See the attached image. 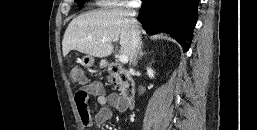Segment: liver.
<instances>
[{"mask_svg":"<svg viewBox=\"0 0 257 130\" xmlns=\"http://www.w3.org/2000/svg\"><path fill=\"white\" fill-rule=\"evenodd\" d=\"M129 16L121 10H96L74 18L63 37V56L77 50L94 57H107L113 52L112 42L120 40L121 55L130 58L133 19ZM136 24L140 33H144L137 21Z\"/></svg>","mask_w":257,"mask_h":130,"instance_id":"6515ba94","label":"liver"}]
</instances>
